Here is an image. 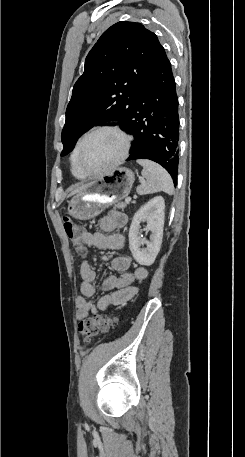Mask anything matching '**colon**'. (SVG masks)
Wrapping results in <instances>:
<instances>
[{"label":"colon","instance_id":"obj_1","mask_svg":"<svg viewBox=\"0 0 245 457\" xmlns=\"http://www.w3.org/2000/svg\"><path fill=\"white\" fill-rule=\"evenodd\" d=\"M63 226L65 233L72 243L75 250L84 254L86 252L85 245L83 243V230L79 228L68 216L63 219ZM117 318L109 315H95L86 319H83L79 323V335L84 343H88L94 336L100 332H106L110 327L115 324Z\"/></svg>","mask_w":245,"mask_h":457}]
</instances>
